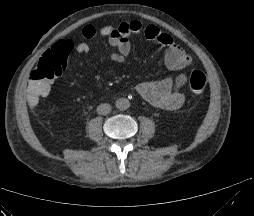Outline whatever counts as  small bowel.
<instances>
[{
	"mask_svg": "<svg viewBox=\"0 0 254 216\" xmlns=\"http://www.w3.org/2000/svg\"><path fill=\"white\" fill-rule=\"evenodd\" d=\"M82 35L87 40L94 39L98 35L106 38L114 49L111 60L116 63L123 62L129 56L131 52L129 38L132 35H144L147 39L156 41L164 47L165 64L171 72L183 70L191 64L190 55L177 44L172 36L155 26H144L138 20L122 22L116 26L104 25L99 29L93 24H87L82 28ZM51 50H60L68 57L72 52L86 54L90 46L86 42L74 43L72 40H61L46 52ZM185 81L184 73L177 76L167 75L158 81L142 82L135 87V91L155 107L175 110L185 103L186 96L182 91ZM28 100L31 104L39 102Z\"/></svg>",
	"mask_w": 254,
	"mask_h": 216,
	"instance_id": "small-bowel-1",
	"label": "small bowel"
}]
</instances>
